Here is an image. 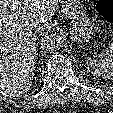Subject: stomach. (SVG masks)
I'll list each match as a JSON object with an SVG mask.
<instances>
[{
  "instance_id": "stomach-1",
  "label": "stomach",
  "mask_w": 113,
  "mask_h": 113,
  "mask_svg": "<svg viewBox=\"0 0 113 113\" xmlns=\"http://www.w3.org/2000/svg\"><path fill=\"white\" fill-rule=\"evenodd\" d=\"M84 0H60V5L67 18L72 20V32L76 38L87 41L94 37L95 24L85 15Z\"/></svg>"
}]
</instances>
